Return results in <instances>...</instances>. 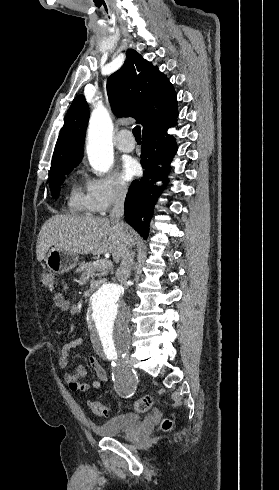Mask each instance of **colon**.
<instances>
[{
  "mask_svg": "<svg viewBox=\"0 0 279 490\" xmlns=\"http://www.w3.org/2000/svg\"><path fill=\"white\" fill-rule=\"evenodd\" d=\"M40 284L43 288L54 289L56 286L55 274L50 270H44L40 276ZM153 404V399L150 396H143L136 400L132 406V409L136 413H142L148 411ZM89 409L91 413L97 416H107L108 408L100 401H91L89 403ZM172 422L166 418L162 422V428L164 431L170 429Z\"/></svg>",
  "mask_w": 279,
  "mask_h": 490,
  "instance_id": "colon-1",
  "label": "colon"
}]
</instances>
